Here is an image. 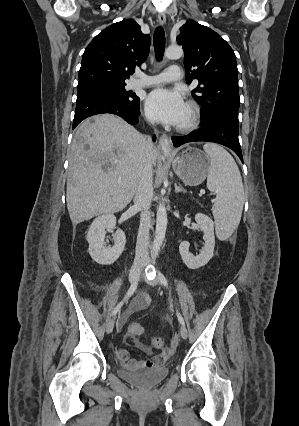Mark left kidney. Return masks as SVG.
I'll return each instance as SVG.
<instances>
[{
  "label": "left kidney",
  "mask_w": 299,
  "mask_h": 426,
  "mask_svg": "<svg viewBox=\"0 0 299 426\" xmlns=\"http://www.w3.org/2000/svg\"><path fill=\"white\" fill-rule=\"evenodd\" d=\"M195 221L204 233V247L199 255L194 256L189 252V242L183 241L179 246V252L185 265L190 269H198L206 265L213 257L215 247L214 223L207 215L198 213L195 215Z\"/></svg>",
  "instance_id": "5707ae66"
}]
</instances>
